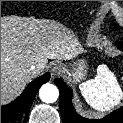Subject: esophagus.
Instances as JSON below:
<instances>
[{
  "label": "esophagus",
  "mask_w": 123,
  "mask_h": 123,
  "mask_svg": "<svg viewBox=\"0 0 123 123\" xmlns=\"http://www.w3.org/2000/svg\"><path fill=\"white\" fill-rule=\"evenodd\" d=\"M62 72V65L59 63H55L51 68L52 76H57Z\"/></svg>",
  "instance_id": "1"
}]
</instances>
